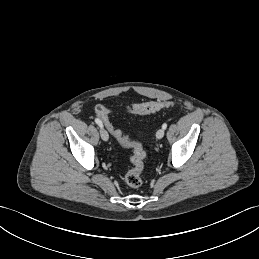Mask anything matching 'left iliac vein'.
I'll return each instance as SVG.
<instances>
[{"label": "left iliac vein", "mask_w": 259, "mask_h": 259, "mask_svg": "<svg viewBox=\"0 0 259 259\" xmlns=\"http://www.w3.org/2000/svg\"><path fill=\"white\" fill-rule=\"evenodd\" d=\"M164 134H165L164 129H159V130L157 131V133H156V138H157V139H162L163 136H164Z\"/></svg>", "instance_id": "left-iliac-vein-1"}]
</instances>
